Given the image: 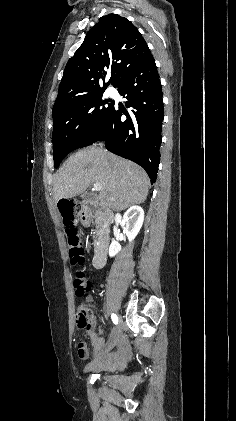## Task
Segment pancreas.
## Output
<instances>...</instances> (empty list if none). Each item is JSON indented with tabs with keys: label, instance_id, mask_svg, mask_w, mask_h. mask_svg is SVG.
Here are the masks:
<instances>
[{
	"label": "pancreas",
	"instance_id": "1",
	"mask_svg": "<svg viewBox=\"0 0 236 421\" xmlns=\"http://www.w3.org/2000/svg\"><path fill=\"white\" fill-rule=\"evenodd\" d=\"M96 229L93 233V239L94 241H98L99 237H102L103 233H105V225H103L102 217L101 215H98L96 221H95ZM109 231V229H107Z\"/></svg>",
	"mask_w": 236,
	"mask_h": 421
}]
</instances>
